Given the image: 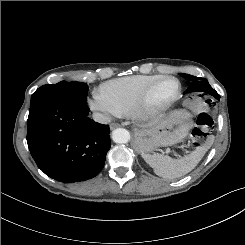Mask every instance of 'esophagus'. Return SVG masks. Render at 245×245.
Instances as JSON below:
<instances>
[{"label": "esophagus", "instance_id": "34e87169", "mask_svg": "<svg viewBox=\"0 0 245 245\" xmlns=\"http://www.w3.org/2000/svg\"><path fill=\"white\" fill-rule=\"evenodd\" d=\"M119 126H120V124H118V123H111L110 124V129L113 130V129L119 127Z\"/></svg>", "mask_w": 245, "mask_h": 245}]
</instances>
